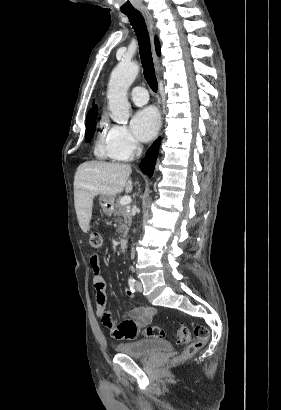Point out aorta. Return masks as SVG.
<instances>
[{
    "instance_id": "obj_1",
    "label": "aorta",
    "mask_w": 281,
    "mask_h": 410,
    "mask_svg": "<svg viewBox=\"0 0 281 410\" xmlns=\"http://www.w3.org/2000/svg\"><path fill=\"white\" fill-rule=\"evenodd\" d=\"M139 73L135 63H119L110 75L108 83V105L112 119L119 124H126L129 119L130 104L127 91Z\"/></svg>"
}]
</instances>
